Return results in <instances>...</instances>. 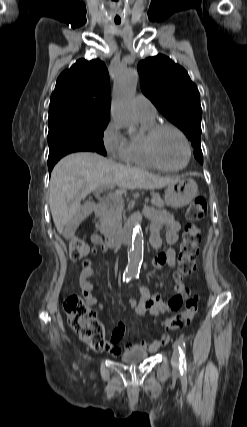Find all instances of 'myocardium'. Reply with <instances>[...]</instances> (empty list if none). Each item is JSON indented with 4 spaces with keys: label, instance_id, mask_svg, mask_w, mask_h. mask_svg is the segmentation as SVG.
<instances>
[{
    "label": "myocardium",
    "instance_id": "1",
    "mask_svg": "<svg viewBox=\"0 0 247 427\" xmlns=\"http://www.w3.org/2000/svg\"><path fill=\"white\" fill-rule=\"evenodd\" d=\"M166 129H170V130H173L174 132H176L181 137V139L183 140V143L185 145L186 160L182 166L177 167V168L168 167V166L162 164L160 162V160L158 159L157 154H156V150H155L156 139H157L158 135L163 130H166ZM144 147H145V151H146L147 156L149 157L151 162L156 166V168L164 170V171H168V172H178V171L184 170L189 165V162H190L191 156H192L191 145H190L188 137L178 126H176L172 123H156L154 126H152L145 133Z\"/></svg>",
    "mask_w": 247,
    "mask_h": 427
}]
</instances>
